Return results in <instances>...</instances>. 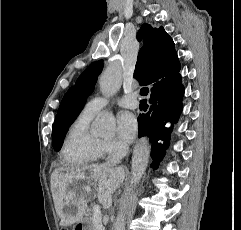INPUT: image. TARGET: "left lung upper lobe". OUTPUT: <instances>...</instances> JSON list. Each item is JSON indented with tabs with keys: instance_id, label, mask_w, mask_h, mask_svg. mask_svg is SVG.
<instances>
[{
	"instance_id": "5c2ea615",
	"label": "left lung upper lobe",
	"mask_w": 241,
	"mask_h": 230,
	"mask_svg": "<svg viewBox=\"0 0 241 230\" xmlns=\"http://www.w3.org/2000/svg\"><path fill=\"white\" fill-rule=\"evenodd\" d=\"M102 69L103 63H96L86 69L77 79L75 86L71 87L64 96L52 129V145L55 151L61 149L69 127L82 111L87 95L94 90Z\"/></svg>"
}]
</instances>
